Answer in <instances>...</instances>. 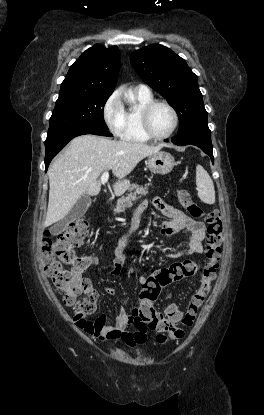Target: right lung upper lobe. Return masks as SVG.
<instances>
[{
  "instance_id": "right-lung-upper-lobe-1",
  "label": "right lung upper lobe",
  "mask_w": 264,
  "mask_h": 415,
  "mask_svg": "<svg viewBox=\"0 0 264 415\" xmlns=\"http://www.w3.org/2000/svg\"><path fill=\"white\" fill-rule=\"evenodd\" d=\"M119 69L118 47L105 48L96 44L71 65L59 95L112 94Z\"/></svg>"
}]
</instances>
